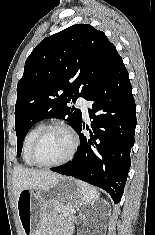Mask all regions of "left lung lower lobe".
I'll return each mask as SVG.
<instances>
[{"instance_id": "1", "label": "left lung lower lobe", "mask_w": 155, "mask_h": 235, "mask_svg": "<svg viewBox=\"0 0 155 235\" xmlns=\"http://www.w3.org/2000/svg\"><path fill=\"white\" fill-rule=\"evenodd\" d=\"M86 100L92 102L88 109L92 131L89 137L81 133L85 126L81 119L75 128L80 137L76 156L51 170L100 187L118 203L131 165L136 128V105L121 57Z\"/></svg>"}]
</instances>
